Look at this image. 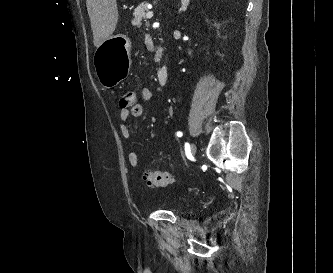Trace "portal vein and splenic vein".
<instances>
[{"label":"portal vein and splenic vein","instance_id":"portal-vein-and-splenic-vein-1","mask_svg":"<svg viewBox=\"0 0 333 273\" xmlns=\"http://www.w3.org/2000/svg\"><path fill=\"white\" fill-rule=\"evenodd\" d=\"M153 12L152 11H149V12H147V14H146V18L147 19H151L152 17H153Z\"/></svg>","mask_w":333,"mask_h":273}]
</instances>
